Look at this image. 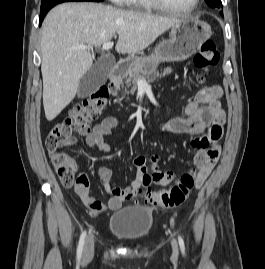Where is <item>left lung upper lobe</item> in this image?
I'll list each match as a JSON object with an SVG mask.
<instances>
[{
  "label": "left lung upper lobe",
  "instance_id": "obj_1",
  "mask_svg": "<svg viewBox=\"0 0 265 269\" xmlns=\"http://www.w3.org/2000/svg\"><path fill=\"white\" fill-rule=\"evenodd\" d=\"M207 5L211 8L220 7L221 6V0H205ZM222 14V12H221Z\"/></svg>",
  "mask_w": 265,
  "mask_h": 269
}]
</instances>
